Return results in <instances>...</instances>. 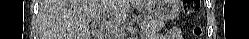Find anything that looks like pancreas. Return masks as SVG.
<instances>
[{"label":"pancreas","instance_id":"1","mask_svg":"<svg viewBox=\"0 0 249 39\" xmlns=\"http://www.w3.org/2000/svg\"><path fill=\"white\" fill-rule=\"evenodd\" d=\"M142 35L145 39L155 36L162 27H164V21L155 17H144L141 21Z\"/></svg>","mask_w":249,"mask_h":39}]
</instances>
